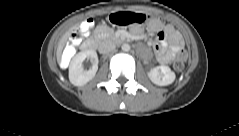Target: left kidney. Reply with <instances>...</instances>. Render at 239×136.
<instances>
[{"instance_id":"obj_1","label":"left kidney","mask_w":239,"mask_h":136,"mask_svg":"<svg viewBox=\"0 0 239 136\" xmlns=\"http://www.w3.org/2000/svg\"><path fill=\"white\" fill-rule=\"evenodd\" d=\"M149 79L158 86H167L175 81L176 75L168 66H157L148 73Z\"/></svg>"}]
</instances>
